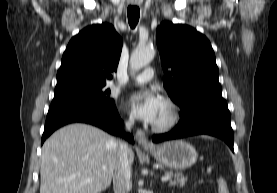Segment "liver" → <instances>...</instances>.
I'll use <instances>...</instances> for the list:
<instances>
[{
	"label": "liver",
	"mask_w": 277,
	"mask_h": 193,
	"mask_svg": "<svg viewBox=\"0 0 277 193\" xmlns=\"http://www.w3.org/2000/svg\"><path fill=\"white\" fill-rule=\"evenodd\" d=\"M118 142L87 124H71L43 144L40 193H99L114 177ZM130 162L134 160L130 149Z\"/></svg>",
	"instance_id": "liver-1"
}]
</instances>
